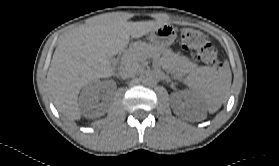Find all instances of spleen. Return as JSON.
<instances>
[{
	"label": "spleen",
	"mask_w": 279,
	"mask_h": 166,
	"mask_svg": "<svg viewBox=\"0 0 279 166\" xmlns=\"http://www.w3.org/2000/svg\"><path fill=\"white\" fill-rule=\"evenodd\" d=\"M231 80L232 76L228 67L215 71L204 66L194 69L185 78L184 83L199 96L206 110L212 113L227 101Z\"/></svg>",
	"instance_id": "1"
}]
</instances>
